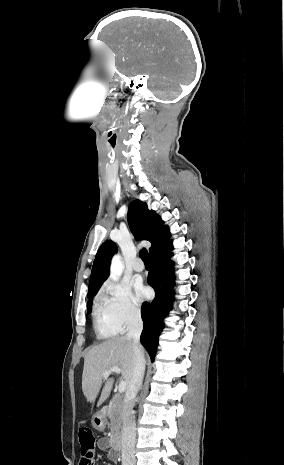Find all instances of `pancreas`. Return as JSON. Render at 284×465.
Instances as JSON below:
<instances>
[{
    "label": "pancreas",
    "instance_id": "1",
    "mask_svg": "<svg viewBox=\"0 0 284 465\" xmlns=\"http://www.w3.org/2000/svg\"><path fill=\"white\" fill-rule=\"evenodd\" d=\"M121 413L122 399L116 395L106 411V417L110 419L111 441H116L117 437L120 435V429L122 427Z\"/></svg>",
    "mask_w": 284,
    "mask_h": 465
}]
</instances>
